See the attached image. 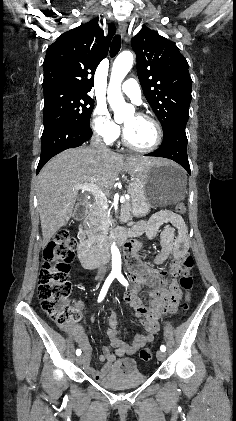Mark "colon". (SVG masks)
Masks as SVG:
<instances>
[{
  "label": "colon",
  "mask_w": 236,
  "mask_h": 421,
  "mask_svg": "<svg viewBox=\"0 0 236 421\" xmlns=\"http://www.w3.org/2000/svg\"><path fill=\"white\" fill-rule=\"evenodd\" d=\"M176 211L186 212V205L179 202ZM74 258V241L67 228L60 229L44 249V263L39 273L38 297L42 310L60 327H67L81 318L79 309L70 306L67 298L72 284L68 279L70 263ZM194 259L190 254H184L177 267L178 285L184 291L185 297L181 305L183 311L189 308V292L193 286L191 270ZM153 357L151 348H143L140 358L149 361Z\"/></svg>",
  "instance_id": "1"
}]
</instances>
